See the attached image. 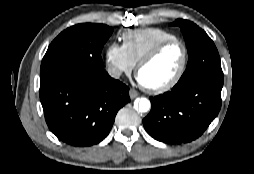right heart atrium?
Instances as JSON below:
<instances>
[{
  "instance_id": "1",
  "label": "right heart atrium",
  "mask_w": 254,
  "mask_h": 174,
  "mask_svg": "<svg viewBox=\"0 0 254 174\" xmlns=\"http://www.w3.org/2000/svg\"><path fill=\"white\" fill-rule=\"evenodd\" d=\"M105 62L107 71L114 78H120L124 74H130L135 64L127 55L123 45L111 42L105 50Z\"/></svg>"
}]
</instances>
